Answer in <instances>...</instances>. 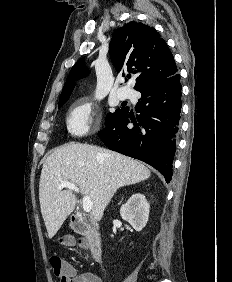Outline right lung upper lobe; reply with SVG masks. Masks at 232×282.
Masks as SVG:
<instances>
[{"mask_svg": "<svg viewBox=\"0 0 232 282\" xmlns=\"http://www.w3.org/2000/svg\"><path fill=\"white\" fill-rule=\"evenodd\" d=\"M110 57L117 70L137 74L134 89L148 82L168 78L177 73L173 55L156 30L138 22H129L117 29L110 43ZM88 75L84 61L80 59L68 75L60 100L69 97L75 81ZM124 75V73H123Z\"/></svg>", "mask_w": 232, "mask_h": 282, "instance_id": "cb5924a9", "label": "right lung upper lobe"}]
</instances>
